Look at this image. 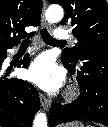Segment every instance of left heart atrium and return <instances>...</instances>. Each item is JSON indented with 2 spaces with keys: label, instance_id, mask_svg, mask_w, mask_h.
Segmentation results:
<instances>
[{
  "label": "left heart atrium",
  "instance_id": "left-heart-atrium-1",
  "mask_svg": "<svg viewBox=\"0 0 108 127\" xmlns=\"http://www.w3.org/2000/svg\"><path fill=\"white\" fill-rule=\"evenodd\" d=\"M28 79L47 91L59 89L64 81V72L48 54L37 57L27 72Z\"/></svg>",
  "mask_w": 108,
  "mask_h": 127
}]
</instances>
